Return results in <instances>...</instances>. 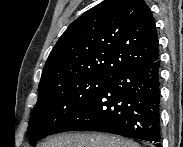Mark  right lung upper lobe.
<instances>
[{"label": "right lung upper lobe", "mask_w": 183, "mask_h": 147, "mask_svg": "<svg viewBox=\"0 0 183 147\" xmlns=\"http://www.w3.org/2000/svg\"><path fill=\"white\" fill-rule=\"evenodd\" d=\"M153 15L143 0H104L59 38L44 66L39 88L86 77L110 79L158 59Z\"/></svg>", "instance_id": "obj_1"}]
</instances>
